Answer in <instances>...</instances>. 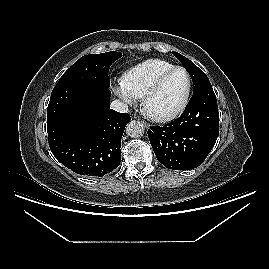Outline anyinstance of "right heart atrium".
Segmentation results:
<instances>
[{
  "label": "right heart atrium",
  "instance_id": "d8ad5b80",
  "mask_svg": "<svg viewBox=\"0 0 269 269\" xmlns=\"http://www.w3.org/2000/svg\"><path fill=\"white\" fill-rule=\"evenodd\" d=\"M114 93L128 104L135 103L137 96L133 94L124 84L123 80H119L114 86Z\"/></svg>",
  "mask_w": 269,
  "mask_h": 269
}]
</instances>
